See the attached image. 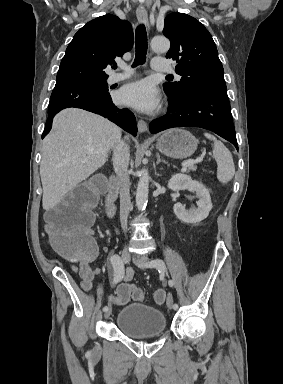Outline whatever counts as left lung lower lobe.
<instances>
[{
  "mask_svg": "<svg viewBox=\"0 0 283 384\" xmlns=\"http://www.w3.org/2000/svg\"><path fill=\"white\" fill-rule=\"evenodd\" d=\"M168 97L167 115L151 122V133L173 127H201L215 132L238 149L227 91L192 90L181 97Z\"/></svg>",
  "mask_w": 283,
  "mask_h": 384,
  "instance_id": "obj_1",
  "label": "left lung lower lobe"
}]
</instances>
